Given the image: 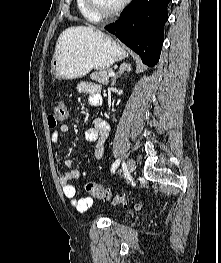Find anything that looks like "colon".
Returning a JSON list of instances; mask_svg holds the SVG:
<instances>
[{
	"label": "colon",
	"mask_w": 221,
	"mask_h": 263,
	"mask_svg": "<svg viewBox=\"0 0 221 263\" xmlns=\"http://www.w3.org/2000/svg\"><path fill=\"white\" fill-rule=\"evenodd\" d=\"M66 117V106L63 102L56 103L48 114V124L51 128H55ZM87 190L97 199L103 201H112L116 204H124L125 198L113 195L111 191L105 189L94 182L87 184Z\"/></svg>",
	"instance_id": "obj_1"
}]
</instances>
